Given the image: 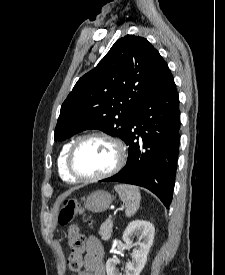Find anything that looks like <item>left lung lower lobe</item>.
I'll list each match as a JSON object with an SVG mask.
<instances>
[{
    "label": "left lung lower lobe",
    "mask_w": 225,
    "mask_h": 275,
    "mask_svg": "<svg viewBox=\"0 0 225 275\" xmlns=\"http://www.w3.org/2000/svg\"><path fill=\"white\" fill-rule=\"evenodd\" d=\"M179 99L171 72L149 95L123 141L129 146L125 167L100 182L145 187L168 208L172 201L180 142Z\"/></svg>",
    "instance_id": "left-lung-lower-lobe-1"
}]
</instances>
